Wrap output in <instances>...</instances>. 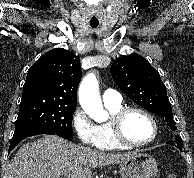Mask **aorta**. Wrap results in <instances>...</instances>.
Instances as JSON below:
<instances>
[{
  "instance_id": "1",
  "label": "aorta",
  "mask_w": 194,
  "mask_h": 178,
  "mask_svg": "<svg viewBox=\"0 0 194 178\" xmlns=\"http://www.w3.org/2000/svg\"><path fill=\"white\" fill-rule=\"evenodd\" d=\"M79 102L82 109L95 121L107 120L108 113L103 109L99 94L98 80L94 73L87 74L79 86Z\"/></svg>"
}]
</instances>
